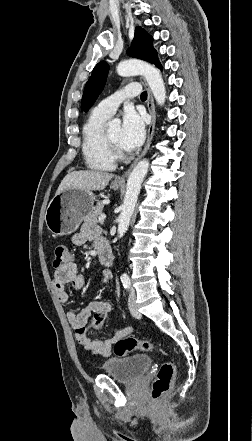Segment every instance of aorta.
Instances as JSON below:
<instances>
[{
  "label": "aorta",
  "mask_w": 252,
  "mask_h": 441,
  "mask_svg": "<svg viewBox=\"0 0 252 441\" xmlns=\"http://www.w3.org/2000/svg\"><path fill=\"white\" fill-rule=\"evenodd\" d=\"M117 73L120 76L143 75L158 105H164L166 100V88L159 70L154 66L140 60H127L118 64ZM112 124L119 125L120 120L114 119ZM148 168L149 161L147 159L139 161L127 179L126 194L122 205V211L118 217L119 236H123L128 230L141 190V185L148 172Z\"/></svg>",
  "instance_id": "obj_1"
}]
</instances>
